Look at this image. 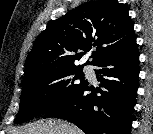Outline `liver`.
I'll use <instances>...</instances> for the list:
<instances>
[{"label": "liver", "mask_w": 153, "mask_h": 134, "mask_svg": "<svg viewBox=\"0 0 153 134\" xmlns=\"http://www.w3.org/2000/svg\"><path fill=\"white\" fill-rule=\"evenodd\" d=\"M15 134H83L75 125L62 120H41L14 131Z\"/></svg>", "instance_id": "6515ba94"}]
</instances>
